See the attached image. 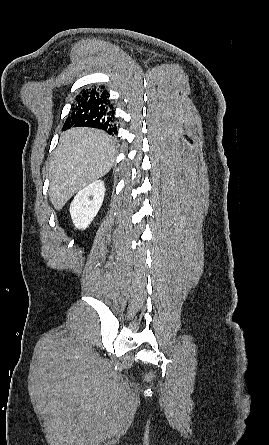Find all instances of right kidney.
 Wrapping results in <instances>:
<instances>
[{"label":"right kidney","mask_w":269,"mask_h":445,"mask_svg":"<svg viewBox=\"0 0 269 445\" xmlns=\"http://www.w3.org/2000/svg\"><path fill=\"white\" fill-rule=\"evenodd\" d=\"M105 196L102 180H96L80 190L70 205V215L76 228L86 229L100 210Z\"/></svg>","instance_id":"right-kidney-1"}]
</instances>
